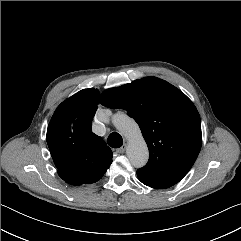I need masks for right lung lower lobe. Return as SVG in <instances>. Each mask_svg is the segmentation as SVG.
Instances as JSON below:
<instances>
[{
    "instance_id": "1",
    "label": "right lung lower lobe",
    "mask_w": 241,
    "mask_h": 241,
    "mask_svg": "<svg viewBox=\"0 0 241 241\" xmlns=\"http://www.w3.org/2000/svg\"><path fill=\"white\" fill-rule=\"evenodd\" d=\"M59 176L67 183L71 184V185H81V183L73 178L72 176L68 175V174H64V173H59Z\"/></svg>"
}]
</instances>
